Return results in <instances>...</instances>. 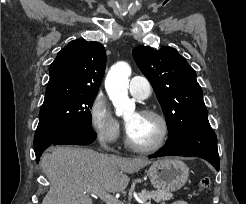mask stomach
I'll use <instances>...</instances> for the list:
<instances>
[{"label":"stomach","mask_w":246,"mask_h":204,"mask_svg":"<svg viewBox=\"0 0 246 204\" xmlns=\"http://www.w3.org/2000/svg\"><path fill=\"white\" fill-rule=\"evenodd\" d=\"M151 184L159 191L174 192L185 185L189 177L187 165L175 158H161L148 170Z\"/></svg>","instance_id":"1"}]
</instances>
